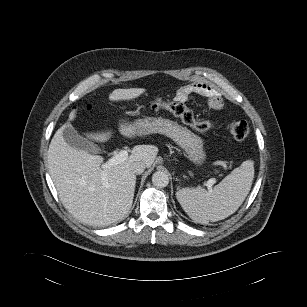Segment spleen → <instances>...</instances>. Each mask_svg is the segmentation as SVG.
<instances>
[{"instance_id": "3e777b00", "label": "spleen", "mask_w": 307, "mask_h": 307, "mask_svg": "<svg viewBox=\"0 0 307 307\" xmlns=\"http://www.w3.org/2000/svg\"><path fill=\"white\" fill-rule=\"evenodd\" d=\"M253 178L254 163L246 160L214 188H183L176 192V198L195 222H216L237 211L251 189Z\"/></svg>"}]
</instances>
